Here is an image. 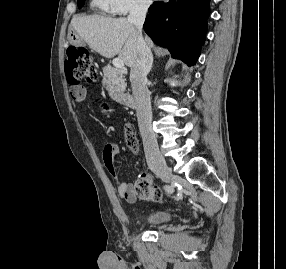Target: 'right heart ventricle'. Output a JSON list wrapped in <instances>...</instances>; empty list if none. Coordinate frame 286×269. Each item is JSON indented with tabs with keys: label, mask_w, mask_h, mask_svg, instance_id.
<instances>
[{
	"label": "right heart ventricle",
	"mask_w": 286,
	"mask_h": 269,
	"mask_svg": "<svg viewBox=\"0 0 286 269\" xmlns=\"http://www.w3.org/2000/svg\"><path fill=\"white\" fill-rule=\"evenodd\" d=\"M93 10L103 14L113 13L110 0H91L90 2Z\"/></svg>",
	"instance_id": "obj_1"
}]
</instances>
